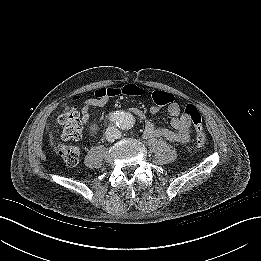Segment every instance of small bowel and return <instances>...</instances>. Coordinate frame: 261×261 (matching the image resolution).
<instances>
[{"label": "small bowel", "instance_id": "small-bowel-1", "mask_svg": "<svg viewBox=\"0 0 261 261\" xmlns=\"http://www.w3.org/2000/svg\"><path fill=\"white\" fill-rule=\"evenodd\" d=\"M106 102V98H89L84 100L81 106V119L83 123L88 124L91 108L104 106ZM167 105L168 113L171 116V128L167 126H155L153 122L147 120L145 121V135L149 138L161 137L172 142L185 144L191 137L192 121L185 112L181 113L180 106L175 100ZM159 106L160 105L155 103V105L150 108V112L152 114L157 113L159 111ZM135 112L139 118H145L144 112L140 110H136Z\"/></svg>", "mask_w": 261, "mask_h": 261}]
</instances>
